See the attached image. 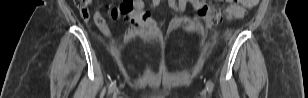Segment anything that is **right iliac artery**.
<instances>
[{
	"label": "right iliac artery",
	"mask_w": 308,
	"mask_h": 98,
	"mask_svg": "<svg viewBox=\"0 0 308 98\" xmlns=\"http://www.w3.org/2000/svg\"><path fill=\"white\" fill-rule=\"evenodd\" d=\"M116 87V82H112L109 86L108 92L111 93V91Z\"/></svg>",
	"instance_id": "82829eb1"
}]
</instances>
